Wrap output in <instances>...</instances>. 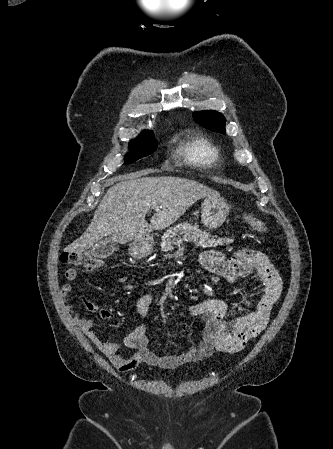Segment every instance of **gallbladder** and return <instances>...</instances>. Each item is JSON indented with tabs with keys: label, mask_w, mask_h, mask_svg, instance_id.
I'll return each instance as SVG.
<instances>
[{
	"label": "gallbladder",
	"mask_w": 333,
	"mask_h": 449,
	"mask_svg": "<svg viewBox=\"0 0 333 449\" xmlns=\"http://www.w3.org/2000/svg\"><path fill=\"white\" fill-rule=\"evenodd\" d=\"M117 250L118 246L115 242L109 239H103L94 248H92L91 253L95 257L106 258L112 255Z\"/></svg>",
	"instance_id": "bac80fb5"
}]
</instances>
